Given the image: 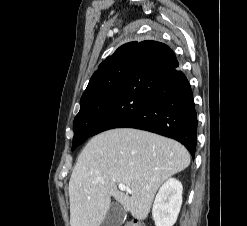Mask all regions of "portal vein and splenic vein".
<instances>
[{
    "mask_svg": "<svg viewBox=\"0 0 247 226\" xmlns=\"http://www.w3.org/2000/svg\"><path fill=\"white\" fill-rule=\"evenodd\" d=\"M118 188L121 190V191H127L129 193H131V189L129 186L125 185V184H118Z\"/></svg>",
    "mask_w": 247,
    "mask_h": 226,
    "instance_id": "portal-vein-and-splenic-vein-1",
    "label": "portal vein and splenic vein"
}]
</instances>
